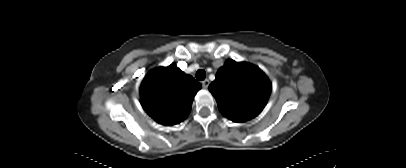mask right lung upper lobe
<instances>
[{
  "instance_id": "right-lung-upper-lobe-1",
  "label": "right lung upper lobe",
  "mask_w": 406,
  "mask_h": 168,
  "mask_svg": "<svg viewBox=\"0 0 406 168\" xmlns=\"http://www.w3.org/2000/svg\"><path fill=\"white\" fill-rule=\"evenodd\" d=\"M200 88L201 84L176 64L159 67L147 74L141 84V105L158 123L178 124L189 114Z\"/></svg>"
}]
</instances>
